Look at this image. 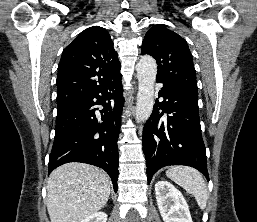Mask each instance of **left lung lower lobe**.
Segmentation results:
<instances>
[{
  "instance_id": "0a47b994",
  "label": "left lung lower lobe",
  "mask_w": 257,
  "mask_h": 222,
  "mask_svg": "<svg viewBox=\"0 0 257 222\" xmlns=\"http://www.w3.org/2000/svg\"><path fill=\"white\" fill-rule=\"evenodd\" d=\"M153 113L143 129V151L148 184L152 176L168 165H187L199 170L209 180L205 145L198 112V97L163 82Z\"/></svg>"
}]
</instances>
